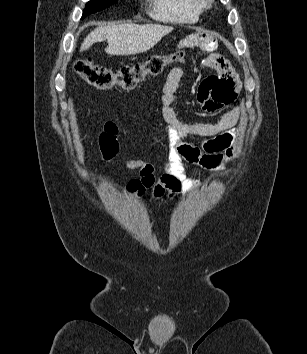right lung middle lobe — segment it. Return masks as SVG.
Masks as SVG:
<instances>
[{"label":"right lung middle lobe","mask_w":307,"mask_h":354,"mask_svg":"<svg viewBox=\"0 0 307 354\" xmlns=\"http://www.w3.org/2000/svg\"><path fill=\"white\" fill-rule=\"evenodd\" d=\"M117 1L118 0H90L86 4V7H85V9L83 11L82 18H84L85 16L89 15L90 13H94V12L103 10V9L113 5Z\"/></svg>","instance_id":"1"}]
</instances>
